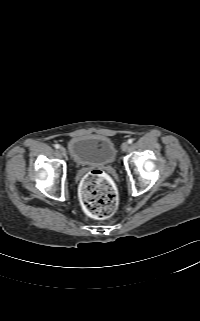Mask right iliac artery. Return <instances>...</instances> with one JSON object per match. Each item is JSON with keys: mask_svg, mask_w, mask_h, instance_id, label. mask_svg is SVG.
Masks as SVG:
<instances>
[{"mask_svg": "<svg viewBox=\"0 0 200 321\" xmlns=\"http://www.w3.org/2000/svg\"><path fill=\"white\" fill-rule=\"evenodd\" d=\"M55 148H56V149H59V148H60V145H59V144H55Z\"/></svg>", "mask_w": 200, "mask_h": 321, "instance_id": "obj_1", "label": "right iliac artery"}]
</instances>
